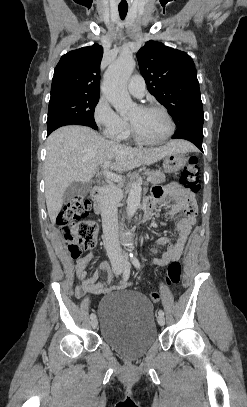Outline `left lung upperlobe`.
Returning a JSON list of instances; mask_svg holds the SVG:
<instances>
[{
	"instance_id": "left-lung-upper-lobe-1",
	"label": "left lung upper lobe",
	"mask_w": 247,
	"mask_h": 407,
	"mask_svg": "<svg viewBox=\"0 0 247 407\" xmlns=\"http://www.w3.org/2000/svg\"><path fill=\"white\" fill-rule=\"evenodd\" d=\"M137 60L148 91L167 108L177 130L203 124L200 88L190 56L151 40L138 51Z\"/></svg>"
}]
</instances>
